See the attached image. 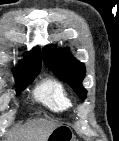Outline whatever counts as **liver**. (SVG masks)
Masks as SVG:
<instances>
[{
    "label": "liver",
    "instance_id": "obj_1",
    "mask_svg": "<svg viewBox=\"0 0 119 141\" xmlns=\"http://www.w3.org/2000/svg\"><path fill=\"white\" fill-rule=\"evenodd\" d=\"M60 125V123L44 118L30 120L25 125L26 141H47L50 133Z\"/></svg>",
    "mask_w": 119,
    "mask_h": 141
}]
</instances>
